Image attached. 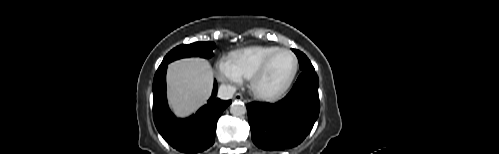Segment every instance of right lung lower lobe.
Returning a JSON list of instances; mask_svg holds the SVG:
<instances>
[{"label": "right lung lower lobe", "instance_id": "1", "mask_svg": "<svg viewBox=\"0 0 499 154\" xmlns=\"http://www.w3.org/2000/svg\"><path fill=\"white\" fill-rule=\"evenodd\" d=\"M168 64L160 65L153 81V118L161 136L173 148L187 154L208 149L215 140L216 124L231 100L216 97L217 83L214 81L212 97L195 115L186 119L176 118L170 111L166 98V70Z\"/></svg>", "mask_w": 499, "mask_h": 154}]
</instances>
